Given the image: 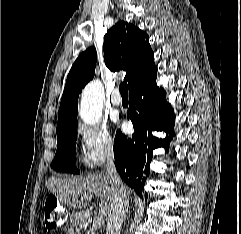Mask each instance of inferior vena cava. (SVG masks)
<instances>
[{
	"instance_id": "602c4592",
	"label": "inferior vena cava",
	"mask_w": 241,
	"mask_h": 234,
	"mask_svg": "<svg viewBox=\"0 0 241 234\" xmlns=\"http://www.w3.org/2000/svg\"><path fill=\"white\" fill-rule=\"evenodd\" d=\"M107 173L113 184L112 211L108 217L106 234H120L121 226L128 210L127 190L115 167L113 151L107 155Z\"/></svg>"
}]
</instances>
